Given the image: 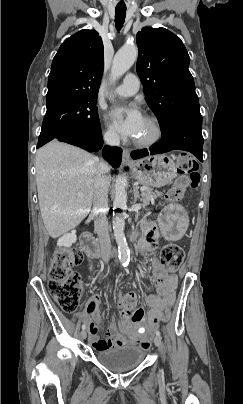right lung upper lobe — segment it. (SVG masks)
Masks as SVG:
<instances>
[{"mask_svg": "<svg viewBox=\"0 0 243 404\" xmlns=\"http://www.w3.org/2000/svg\"><path fill=\"white\" fill-rule=\"evenodd\" d=\"M104 68L102 39L95 30L67 38L55 55L48 77L46 103L97 98Z\"/></svg>", "mask_w": 243, "mask_h": 404, "instance_id": "right-lung-upper-lobe-1", "label": "right lung upper lobe"}]
</instances>
